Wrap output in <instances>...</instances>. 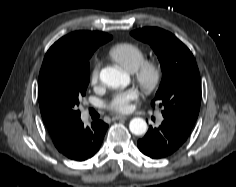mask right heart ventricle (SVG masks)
<instances>
[{"label": "right heart ventricle", "instance_id": "obj_1", "mask_svg": "<svg viewBox=\"0 0 236 187\" xmlns=\"http://www.w3.org/2000/svg\"><path fill=\"white\" fill-rule=\"evenodd\" d=\"M109 58L125 71L133 73L146 60V53L136 44L121 42L108 51Z\"/></svg>", "mask_w": 236, "mask_h": 187}]
</instances>
